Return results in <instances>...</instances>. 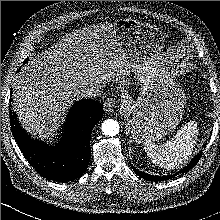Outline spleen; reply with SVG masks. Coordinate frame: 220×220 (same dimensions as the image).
Instances as JSON below:
<instances>
[{"label": "spleen", "mask_w": 220, "mask_h": 220, "mask_svg": "<svg viewBox=\"0 0 220 220\" xmlns=\"http://www.w3.org/2000/svg\"><path fill=\"white\" fill-rule=\"evenodd\" d=\"M197 136V123L190 121L176 133L174 138L163 145L147 141L144 143V149L152 163L171 170L189 160L195 148Z\"/></svg>", "instance_id": "3e777b00"}]
</instances>
